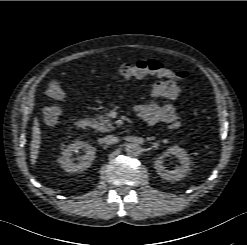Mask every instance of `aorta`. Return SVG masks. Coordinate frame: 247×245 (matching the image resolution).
<instances>
[{
  "instance_id": "obj_1",
  "label": "aorta",
  "mask_w": 247,
  "mask_h": 245,
  "mask_svg": "<svg viewBox=\"0 0 247 245\" xmlns=\"http://www.w3.org/2000/svg\"><path fill=\"white\" fill-rule=\"evenodd\" d=\"M142 148L137 143H130L126 146V153L130 157H137L140 155Z\"/></svg>"
}]
</instances>
